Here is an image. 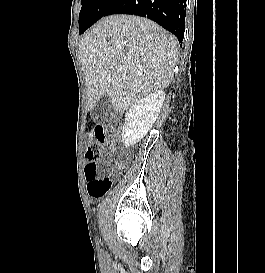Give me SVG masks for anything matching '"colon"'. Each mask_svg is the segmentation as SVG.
I'll return each instance as SVG.
<instances>
[{
  "label": "colon",
  "mask_w": 265,
  "mask_h": 273,
  "mask_svg": "<svg viewBox=\"0 0 265 273\" xmlns=\"http://www.w3.org/2000/svg\"><path fill=\"white\" fill-rule=\"evenodd\" d=\"M119 123L114 121L106 125H97L93 130V138L86 153L90 160L85 166V175L88 182V192L92 197H103L111 188L112 180L109 177L98 178L97 160L101 154L114 148L115 136L118 132ZM129 159L126 154H121L117 159L118 169H124L128 165Z\"/></svg>",
  "instance_id": "colon-1"
}]
</instances>
